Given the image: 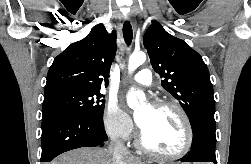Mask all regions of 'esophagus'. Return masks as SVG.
<instances>
[{"mask_svg": "<svg viewBox=\"0 0 251 164\" xmlns=\"http://www.w3.org/2000/svg\"><path fill=\"white\" fill-rule=\"evenodd\" d=\"M127 20H129L131 22L133 29H135L136 28V22L131 18V15L127 16Z\"/></svg>", "mask_w": 251, "mask_h": 164, "instance_id": "esophagus-1", "label": "esophagus"}]
</instances>
